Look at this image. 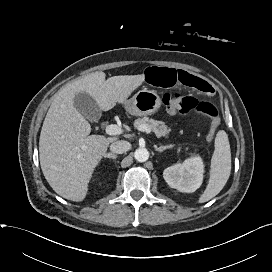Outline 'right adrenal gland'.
<instances>
[{
	"label": "right adrenal gland",
	"instance_id": "right-adrenal-gland-1",
	"mask_svg": "<svg viewBox=\"0 0 272 272\" xmlns=\"http://www.w3.org/2000/svg\"><path fill=\"white\" fill-rule=\"evenodd\" d=\"M105 158H111V159H116L117 158V155L115 154H112V153H106L104 155Z\"/></svg>",
	"mask_w": 272,
	"mask_h": 272
}]
</instances>
